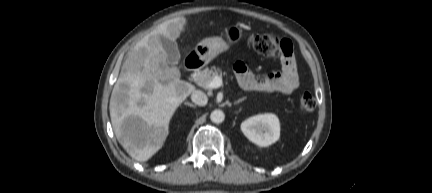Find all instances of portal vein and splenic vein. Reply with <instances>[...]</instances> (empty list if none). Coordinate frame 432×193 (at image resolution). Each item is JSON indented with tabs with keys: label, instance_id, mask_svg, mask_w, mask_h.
I'll return each instance as SVG.
<instances>
[{
	"label": "portal vein and splenic vein",
	"instance_id": "obj_1",
	"mask_svg": "<svg viewBox=\"0 0 432 193\" xmlns=\"http://www.w3.org/2000/svg\"><path fill=\"white\" fill-rule=\"evenodd\" d=\"M223 85L221 76H215L212 81L208 84V88H219Z\"/></svg>",
	"mask_w": 432,
	"mask_h": 193
}]
</instances>
